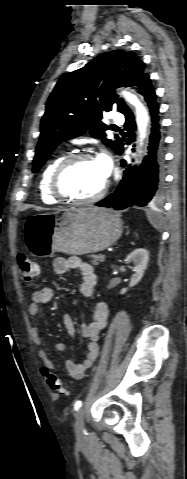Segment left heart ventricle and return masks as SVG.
Segmentation results:
<instances>
[{
  "instance_id": "obj_1",
  "label": "left heart ventricle",
  "mask_w": 187,
  "mask_h": 479,
  "mask_svg": "<svg viewBox=\"0 0 187 479\" xmlns=\"http://www.w3.org/2000/svg\"><path fill=\"white\" fill-rule=\"evenodd\" d=\"M106 178L100 172L94 159L76 162L65 174L63 189L76 197L86 198L96 194Z\"/></svg>"
}]
</instances>
